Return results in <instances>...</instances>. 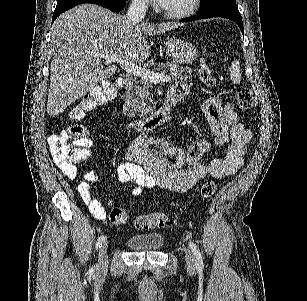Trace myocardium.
<instances>
[{"instance_id": "1", "label": "myocardium", "mask_w": 307, "mask_h": 301, "mask_svg": "<svg viewBox=\"0 0 307 301\" xmlns=\"http://www.w3.org/2000/svg\"><path fill=\"white\" fill-rule=\"evenodd\" d=\"M197 3L198 0H191L189 5L184 9H178L169 4H159L158 2L155 12H163L166 18H176V20H179L181 17H190L194 12Z\"/></svg>"}]
</instances>
